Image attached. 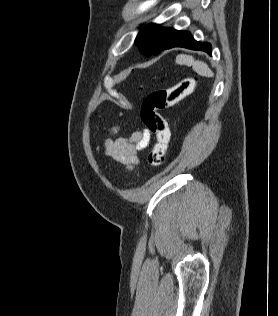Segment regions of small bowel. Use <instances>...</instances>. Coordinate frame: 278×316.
I'll use <instances>...</instances> for the list:
<instances>
[{
  "instance_id": "1",
  "label": "small bowel",
  "mask_w": 278,
  "mask_h": 316,
  "mask_svg": "<svg viewBox=\"0 0 278 316\" xmlns=\"http://www.w3.org/2000/svg\"><path fill=\"white\" fill-rule=\"evenodd\" d=\"M117 133L118 128L111 130L112 136ZM150 140L151 134L146 129L136 130L128 138L109 137L104 142L105 156L131 170L138 164V153L149 145Z\"/></svg>"
}]
</instances>
